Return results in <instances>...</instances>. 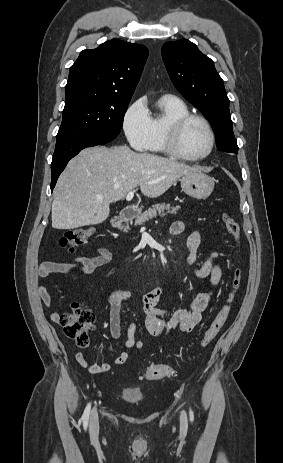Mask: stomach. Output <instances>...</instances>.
Instances as JSON below:
<instances>
[{
	"label": "stomach",
	"instance_id": "1",
	"mask_svg": "<svg viewBox=\"0 0 283 463\" xmlns=\"http://www.w3.org/2000/svg\"><path fill=\"white\" fill-rule=\"evenodd\" d=\"M182 191L198 200L206 199L214 189V179L205 173L194 172L180 179Z\"/></svg>",
	"mask_w": 283,
	"mask_h": 463
}]
</instances>
